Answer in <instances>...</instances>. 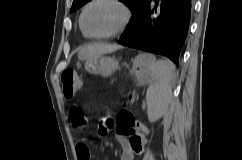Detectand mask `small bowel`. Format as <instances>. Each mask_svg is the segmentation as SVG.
<instances>
[{"mask_svg": "<svg viewBox=\"0 0 242 160\" xmlns=\"http://www.w3.org/2000/svg\"><path fill=\"white\" fill-rule=\"evenodd\" d=\"M71 120L75 124H80L73 119L72 112ZM113 128L117 133V138L122 148L120 160H134L135 156L141 155L143 153L146 144L144 125L137 124V129L134 128L132 132L124 133L119 131L117 123H115L112 119H103L102 130L104 132H107ZM76 152L78 160H90V148L86 141H81L77 144Z\"/></svg>", "mask_w": 242, "mask_h": 160, "instance_id": "c3829d8e", "label": "small bowel"}]
</instances>
